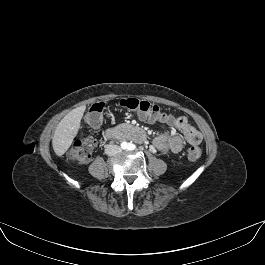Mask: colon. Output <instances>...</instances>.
<instances>
[{
	"label": "colon",
	"instance_id": "5ec220e1",
	"mask_svg": "<svg viewBox=\"0 0 265 265\" xmlns=\"http://www.w3.org/2000/svg\"><path fill=\"white\" fill-rule=\"evenodd\" d=\"M120 105L128 110L135 111L141 115L164 118L167 114L156 104L146 100L136 98H125L120 101ZM104 104H93L86 113L85 120L90 127H97L101 124L104 114ZM96 146V140L93 137L77 140L68 151V157L79 163H86L91 159L93 150ZM202 154L199 147H192L188 151V157L191 160L198 159Z\"/></svg>",
	"mask_w": 265,
	"mask_h": 265
}]
</instances>
